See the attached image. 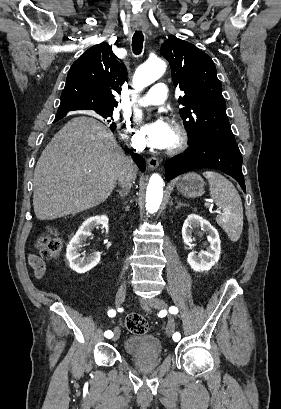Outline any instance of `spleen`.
I'll list each match as a JSON object with an SVG mask.
<instances>
[{"instance_id": "3e777b00", "label": "spleen", "mask_w": 281, "mask_h": 409, "mask_svg": "<svg viewBox=\"0 0 281 409\" xmlns=\"http://www.w3.org/2000/svg\"><path fill=\"white\" fill-rule=\"evenodd\" d=\"M202 174L208 178L210 194L222 211L221 215H217L216 221L227 233L230 241L236 243L243 231L241 196L234 184L219 172L205 170Z\"/></svg>"}]
</instances>
